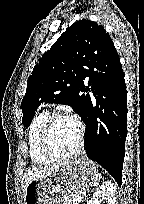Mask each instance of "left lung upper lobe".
I'll return each instance as SVG.
<instances>
[{"label": "left lung upper lobe", "instance_id": "obj_1", "mask_svg": "<svg viewBox=\"0 0 144 204\" xmlns=\"http://www.w3.org/2000/svg\"><path fill=\"white\" fill-rule=\"evenodd\" d=\"M117 59L114 43L103 26L86 19L76 21L44 53L29 76L21 103L22 124L29 126L43 102L69 105L82 118L84 67L109 68Z\"/></svg>", "mask_w": 144, "mask_h": 204}]
</instances>
